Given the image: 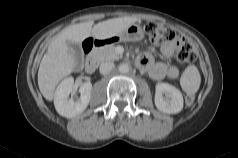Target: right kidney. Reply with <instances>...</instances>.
<instances>
[{
  "label": "right kidney",
  "instance_id": "right-kidney-1",
  "mask_svg": "<svg viewBox=\"0 0 238 158\" xmlns=\"http://www.w3.org/2000/svg\"><path fill=\"white\" fill-rule=\"evenodd\" d=\"M92 84L86 82L79 88L80 98L74 101L69 98L70 93L74 92V79L68 77L64 79L56 89L54 104L57 112L66 118H73L81 114L88 106L91 98Z\"/></svg>",
  "mask_w": 238,
  "mask_h": 158
}]
</instances>
